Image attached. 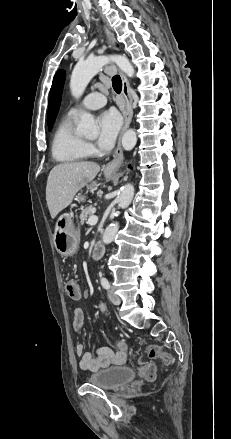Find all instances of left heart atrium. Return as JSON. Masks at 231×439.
Instances as JSON below:
<instances>
[{"label": "left heart atrium", "instance_id": "obj_1", "mask_svg": "<svg viewBox=\"0 0 231 439\" xmlns=\"http://www.w3.org/2000/svg\"><path fill=\"white\" fill-rule=\"evenodd\" d=\"M98 137L97 144L102 150L113 147L121 127V118L114 110H108L97 118Z\"/></svg>", "mask_w": 231, "mask_h": 439}]
</instances>
